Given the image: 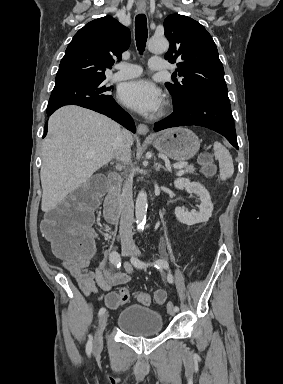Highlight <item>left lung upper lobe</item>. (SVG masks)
<instances>
[{"label":"left lung upper lobe","mask_w":283,"mask_h":384,"mask_svg":"<svg viewBox=\"0 0 283 384\" xmlns=\"http://www.w3.org/2000/svg\"><path fill=\"white\" fill-rule=\"evenodd\" d=\"M165 36L170 42L165 58L178 62L175 75L181 82L165 85L174 104L186 105L197 97L227 95L223 65L208 31L190 17L172 14L164 21Z\"/></svg>","instance_id":"5c2ea615"}]
</instances>
